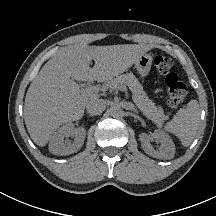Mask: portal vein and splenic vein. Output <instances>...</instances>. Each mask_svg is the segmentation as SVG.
<instances>
[{"mask_svg":"<svg viewBox=\"0 0 216 216\" xmlns=\"http://www.w3.org/2000/svg\"><path fill=\"white\" fill-rule=\"evenodd\" d=\"M118 89L121 91H126L125 86H118ZM81 92L86 94H93L99 92V88L97 86H85L81 89Z\"/></svg>","mask_w":216,"mask_h":216,"instance_id":"obj_1","label":"portal vein and splenic vein"}]
</instances>
